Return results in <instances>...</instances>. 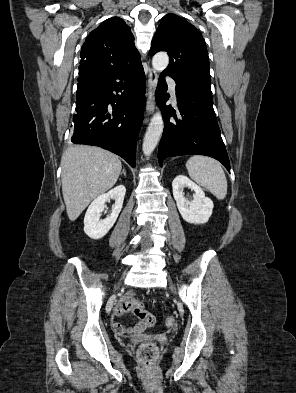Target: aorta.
<instances>
[{
  "mask_svg": "<svg viewBox=\"0 0 296 393\" xmlns=\"http://www.w3.org/2000/svg\"><path fill=\"white\" fill-rule=\"evenodd\" d=\"M168 63H169V57L165 52H159L153 56L152 66L156 71L161 72L165 70L166 67L168 66ZM163 128H164V122L161 112L157 111L151 118V121L149 123V126L147 128L143 140L142 150L145 156L147 157L150 156L151 153L156 148L160 140V137L162 135Z\"/></svg>",
  "mask_w": 296,
  "mask_h": 393,
  "instance_id": "aorta-1",
  "label": "aorta"
}]
</instances>
